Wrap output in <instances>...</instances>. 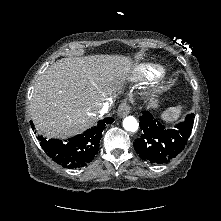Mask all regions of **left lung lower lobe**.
<instances>
[{
  "label": "left lung lower lobe",
  "mask_w": 221,
  "mask_h": 221,
  "mask_svg": "<svg viewBox=\"0 0 221 221\" xmlns=\"http://www.w3.org/2000/svg\"><path fill=\"white\" fill-rule=\"evenodd\" d=\"M193 118L191 113L175 127L165 128L149 111H143L139 117L142 134L133 143L135 151L151 163H168L183 150L193 128Z\"/></svg>",
  "instance_id": "1"
}]
</instances>
